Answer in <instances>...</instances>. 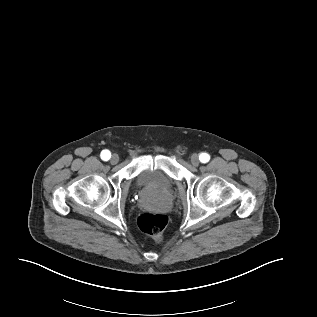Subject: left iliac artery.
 Instances as JSON below:
<instances>
[{
	"label": "left iliac artery",
	"mask_w": 317,
	"mask_h": 317,
	"mask_svg": "<svg viewBox=\"0 0 317 317\" xmlns=\"http://www.w3.org/2000/svg\"><path fill=\"white\" fill-rule=\"evenodd\" d=\"M199 159L202 163H207L210 160V156L207 153H201Z\"/></svg>",
	"instance_id": "1"
}]
</instances>
